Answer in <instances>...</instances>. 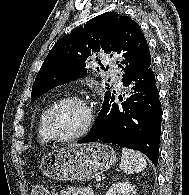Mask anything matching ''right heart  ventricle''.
Masks as SVG:
<instances>
[{"mask_svg": "<svg viewBox=\"0 0 189 195\" xmlns=\"http://www.w3.org/2000/svg\"><path fill=\"white\" fill-rule=\"evenodd\" d=\"M59 98H53L50 100L47 105L40 112L37 119V134L41 142L47 143L52 141L51 137L48 135L47 130L45 128V118L49 111V109L58 101Z\"/></svg>", "mask_w": 189, "mask_h": 195, "instance_id": "1", "label": "right heart ventricle"}]
</instances>
